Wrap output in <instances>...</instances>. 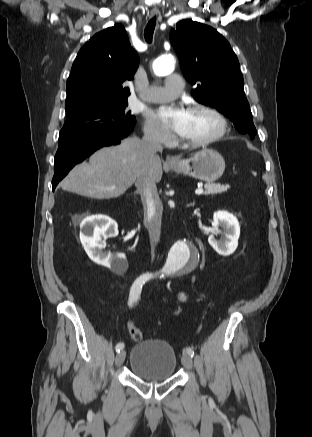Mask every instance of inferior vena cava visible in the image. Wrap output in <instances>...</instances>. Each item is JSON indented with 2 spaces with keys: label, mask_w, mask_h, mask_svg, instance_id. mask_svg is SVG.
<instances>
[{
  "label": "inferior vena cava",
  "mask_w": 312,
  "mask_h": 437,
  "mask_svg": "<svg viewBox=\"0 0 312 437\" xmlns=\"http://www.w3.org/2000/svg\"><path fill=\"white\" fill-rule=\"evenodd\" d=\"M142 142L147 147L145 153L149 160L155 159L156 152H162V145L153 134L146 133L142 138ZM136 186L143 203L145 222L150 240L152 245L156 246L161 235L163 206L151 173L144 177H139Z\"/></svg>",
  "instance_id": "inferior-vena-cava-1"
}]
</instances>
